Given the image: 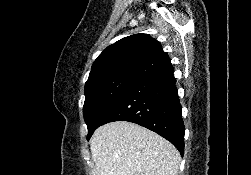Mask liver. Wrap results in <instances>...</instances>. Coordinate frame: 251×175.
I'll use <instances>...</instances> for the list:
<instances>
[{
    "label": "liver",
    "mask_w": 251,
    "mask_h": 175,
    "mask_svg": "<svg viewBox=\"0 0 251 175\" xmlns=\"http://www.w3.org/2000/svg\"><path fill=\"white\" fill-rule=\"evenodd\" d=\"M94 175H178L176 147L137 123L111 121L90 139Z\"/></svg>",
    "instance_id": "obj_1"
}]
</instances>
